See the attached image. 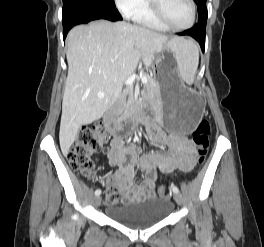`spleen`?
<instances>
[{
    "mask_svg": "<svg viewBox=\"0 0 264 247\" xmlns=\"http://www.w3.org/2000/svg\"><path fill=\"white\" fill-rule=\"evenodd\" d=\"M182 79L188 85L193 84L199 64L198 46L191 40L179 38L172 48Z\"/></svg>",
    "mask_w": 264,
    "mask_h": 247,
    "instance_id": "1",
    "label": "spleen"
}]
</instances>
